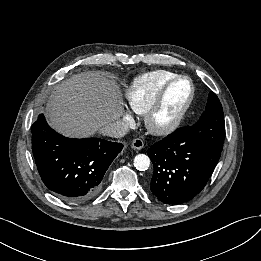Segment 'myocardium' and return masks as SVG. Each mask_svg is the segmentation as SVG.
Wrapping results in <instances>:
<instances>
[{"mask_svg":"<svg viewBox=\"0 0 261 261\" xmlns=\"http://www.w3.org/2000/svg\"><path fill=\"white\" fill-rule=\"evenodd\" d=\"M182 79H186L189 81L190 95H189L185 105L180 110V112L177 114V116L174 118V120L172 122H170L168 125L159 126L156 123V118L163 108L165 99H166L168 93L170 92L171 88L178 81H180ZM194 96H195V87H194V83H193L191 77H189L188 75H177L176 77L171 79L169 82H167L164 85V87L161 89V91L157 95L156 99L154 100L150 109L145 113L144 122H145V126H146L147 130L151 134L156 135V136H166V135H169V134L175 132L180 127L182 122L184 121V119L192 105Z\"/></svg>","mask_w":261,"mask_h":261,"instance_id":"f54148a6","label":"myocardium"}]
</instances>
